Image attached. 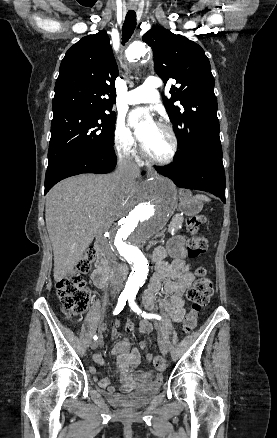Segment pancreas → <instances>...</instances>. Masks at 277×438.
I'll return each mask as SVG.
<instances>
[{
	"label": "pancreas",
	"instance_id": "pancreas-1",
	"mask_svg": "<svg viewBox=\"0 0 277 438\" xmlns=\"http://www.w3.org/2000/svg\"><path fill=\"white\" fill-rule=\"evenodd\" d=\"M185 220L184 215L182 214H174L172 216L171 224L168 225L167 230L170 233H179L180 227L183 226V222Z\"/></svg>",
	"mask_w": 277,
	"mask_h": 438
}]
</instances>
